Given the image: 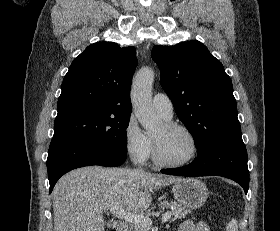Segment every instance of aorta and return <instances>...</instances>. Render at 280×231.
I'll return each mask as SVG.
<instances>
[{"mask_svg":"<svg viewBox=\"0 0 280 231\" xmlns=\"http://www.w3.org/2000/svg\"><path fill=\"white\" fill-rule=\"evenodd\" d=\"M153 82L154 70L152 68H140L133 80L131 90L134 114L147 131H156L162 123V119L156 116L152 108Z\"/></svg>","mask_w":280,"mask_h":231,"instance_id":"762f6f07","label":"aorta"}]
</instances>
